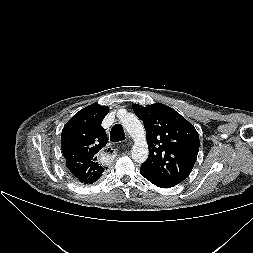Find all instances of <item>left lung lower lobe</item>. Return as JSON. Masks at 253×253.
I'll return each instance as SVG.
<instances>
[{"mask_svg": "<svg viewBox=\"0 0 253 253\" xmlns=\"http://www.w3.org/2000/svg\"><path fill=\"white\" fill-rule=\"evenodd\" d=\"M141 174L143 177H145L147 180H149L151 183H153L154 185L161 187V188H171L173 186H175V184L158 179L156 177H153L145 172H143L142 170H140Z\"/></svg>", "mask_w": 253, "mask_h": 253, "instance_id": "0a47b994", "label": "left lung lower lobe"}]
</instances>
